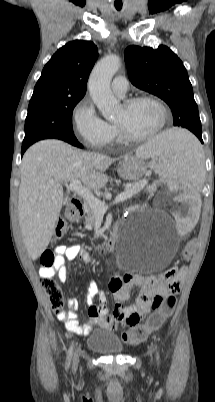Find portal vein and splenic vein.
I'll return each mask as SVG.
<instances>
[{
  "mask_svg": "<svg viewBox=\"0 0 215 402\" xmlns=\"http://www.w3.org/2000/svg\"><path fill=\"white\" fill-rule=\"evenodd\" d=\"M147 184L146 180L141 181L134 188H127L124 192L119 194L114 203H120L128 198L134 196L139 190H141ZM68 191H73L78 194L81 198H83L88 206L97 214V216H102L108 210V205H105L102 201L96 198L89 189L82 186L79 180H73L69 185L66 186Z\"/></svg>",
  "mask_w": 215,
  "mask_h": 402,
  "instance_id": "18ae733b",
  "label": "portal vein and splenic vein"
}]
</instances>
